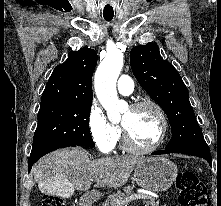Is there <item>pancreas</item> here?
Wrapping results in <instances>:
<instances>
[{"label": "pancreas", "mask_w": 221, "mask_h": 206, "mask_svg": "<svg viewBox=\"0 0 221 206\" xmlns=\"http://www.w3.org/2000/svg\"><path fill=\"white\" fill-rule=\"evenodd\" d=\"M135 195V194H134ZM143 195V203L144 206H159V202L156 201V199L152 196ZM132 196L131 190L127 189L123 193L118 192L114 193L112 195H109L105 203L102 204V206H124V201L126 198Z\"/></svg>", "instance_id": "pancreas-1"}]
</instances>
